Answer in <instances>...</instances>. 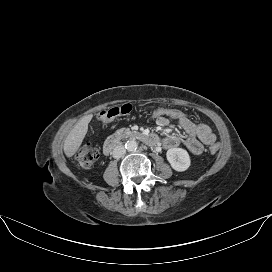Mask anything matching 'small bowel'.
I'll return each instance as SVG.
<instances>
[{"mask_svg":"<svg viewBox=\"0 0 272 272\" xmlns=\"http://www.w3.org/2000/svg\"><path fill=\"white\" fill-rule=\"evenodd\" d=\"M156 122L159 126H168L170 121L166 118H157ZM179 126L183 129L186 136L182 140L185 147L194 155H199L203 152L204 145L213 144L216 141V136L209 126L205 124H196L190 119L178 121ZM165 147L173 148L181 143V138L175 133H170L163 140Z\"/></svg>","mask_w":272,"mask_h":272,"instance_id":"obj_1","label":"small bowel"}]
</instances>
